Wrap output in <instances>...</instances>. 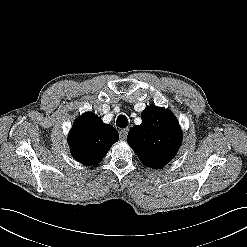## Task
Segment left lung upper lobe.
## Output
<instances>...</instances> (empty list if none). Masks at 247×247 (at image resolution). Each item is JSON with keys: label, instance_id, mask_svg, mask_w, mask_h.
<instances>
[{"label": "left lung upper lobe", "instance_id": "obj_1", "mask_svg": "<svg viewBox=\"0 0 247 247\" xmlns=\"http://www.w3.org/2000/svg\"><path fill=\"white\" fill-rule=\"evenodd\" d=\"M142 123L129 130L128 144L147 167L159 169L177 153L182 132L171 111L149 106L142 112Z\"/></svg>", "mask_w": 247, "mask_h": 247}]
</instances>
